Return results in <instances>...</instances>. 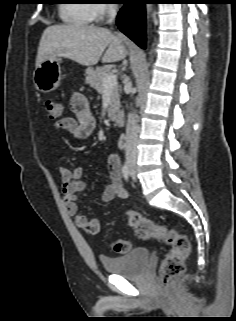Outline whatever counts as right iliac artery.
I'll return each mask as SVG.
<instances>
[{
    "label": "right iliac artery",
    "mask_w": 236,
    "mask_h": 321,
    "mask_svg": "<svg viewBox=\"0 0 236 321\" xmlns=\"http://www.w3.org/2000/svg\"><path fill=\"white\" fill-rule=\"evenodd\" d=\"M122 174L123 177L126 181L129 180V175H130V170H129V165L127 162L124 163L123 167H122Z\"/></svg>",
    "instance_id": "right-iliac-artery-1"
}]
</instances>
